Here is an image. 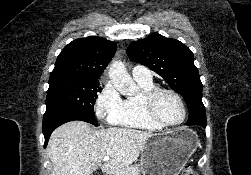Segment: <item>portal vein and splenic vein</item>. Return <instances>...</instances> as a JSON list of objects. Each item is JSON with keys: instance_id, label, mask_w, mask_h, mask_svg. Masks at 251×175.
<instances>
[{"instance_id": "18ae733b", "label": "portal vein and splenic vein", "mask_w": 251, "mask_h": 175, "mask_svg": "<svg viewBox=\"0 0 251 175\" xmlns=\"http://www.w3.org/2000/svg\"><path fill=\"white\" fill-rule=\"evenodd\" d=\"M109 159H110L109 155H104L103 161H109Z\"/></svg>"}]
</instances>
